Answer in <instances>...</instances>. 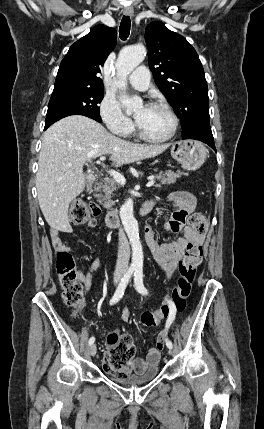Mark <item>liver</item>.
I'll use <instances>...</instances> for the list:
<instances>
[{"instance_id": "1", "label": "liver", "mask_w": 264, "mask_h": 429, "mask_svg": "<svg viewBox=\"0 0 264 429\" xmlns=\"http://www.w3.org/2000/svg\"><path fill=\"white\" fill-rule=\"evenodd\" d=\"M169 146L127 142L82 115L59 120L43 134L36 175L39 205L47 223L57 231L72 232L68 208L85 188L86 162L110 154L113 164L122 166L155 157Z\"/></svg>"}]
</instances>
